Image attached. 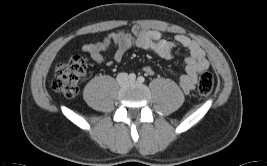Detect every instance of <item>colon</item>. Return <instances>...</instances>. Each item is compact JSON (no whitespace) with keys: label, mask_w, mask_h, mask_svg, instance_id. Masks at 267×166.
<instances>
[{"label":"colon","mask_w":267,"mask_h":166,"mask_svg":"<svg viewBox=\"0 0 267 166\" xmlns=\"http://www.w3.org/2000/svg\"><path fill=\"white\" fill-rule=\"evenodd\" d=\"M87 69L82 57H72L60 63L54 72L53 89L66 96L73 97L79 91V84ZM213 76L208 71H202L198 81V93L202 99H207L213 91Z\"/></svg>","instance_id":"1"}]
</instances>
